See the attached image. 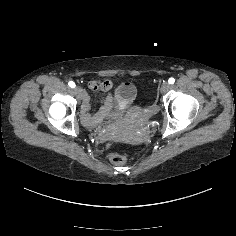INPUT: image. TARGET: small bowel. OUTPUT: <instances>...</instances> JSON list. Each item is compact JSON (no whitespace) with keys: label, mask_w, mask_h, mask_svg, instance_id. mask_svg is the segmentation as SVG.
Here are the masks:
<instances>
[{"label":"small bowel","mask_w":236,"mask_h":236,"mask_svg":"<svg viewBox=\"0 0 236 236\" xmlns=\"http://www.w3.org/2000/svg\"><path fill=\"white\" fill-rule=\"evenodd\" d=\"M89 87L91 89H101L104 91H109L112 88V82L109 80H103V81H98V82L93 81L89 83Z\"/></svg>","instance_id":"c3829d8e"}]
</instances>
